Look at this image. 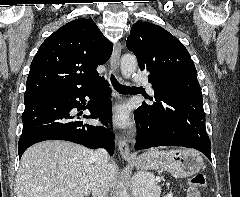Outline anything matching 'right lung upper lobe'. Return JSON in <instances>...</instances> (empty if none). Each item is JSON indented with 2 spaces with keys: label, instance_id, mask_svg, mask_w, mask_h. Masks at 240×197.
<instances>
[{
  "label": "right lung upper lobe",
  "instance_id": "right-lung-upper-lobe-1",
  "mask_svg": "<svg viewBox=\"0 0 240 197\" xmlns=\"http://www.w3.org/2000/svg\"><path fill=\"white\" fill-rule=\"evenodd\" d=\"M112 50V43L91 18L67 23L40 46L31 63L24 99L95 86L103 80L96 68L107 62Z\"/></svg>",
  "mask_w": 240,
  "mask_h": 197
}]
</instances>
